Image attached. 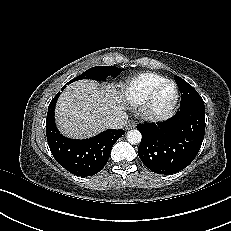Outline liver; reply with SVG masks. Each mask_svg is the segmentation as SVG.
Listing matches in <instances>:
<instances>
[{"label":"liver","instance_id":"liver-1","mask_svg":"<svg viewBox=\"0 0 231 231\" xmlns=\"http://www.w3.org/2000/svg\"><path fill=\"white\" fill-rule=\"evenodd\" d=\"M125 109L118 86H100L93 80H79L67 86L60 95L55 119L61 133L82 139L104 131L106 121Z\"/></svg>","mask_w":231,"mask_h":231}]
</instances>
